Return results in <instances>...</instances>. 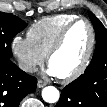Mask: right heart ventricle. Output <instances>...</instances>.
Segmentation results:
<instances>
[{
	"label": "right heart ventricle",
	"instance_id": "e07e8e85",
	"mask_svg": "<svg viewBox=\"0 0 107 107\" xmlns=\"http://www.w3.org/2000/svg\"><path fill=\"white\" fill-rule=\"evenodd\" d=\"M76 18L74 14H57L41 18L29 27L27 37L46 56L61 30Z\"/></svg>",
	"mask_w": 107,
	"mask_h": 107
}]
</instances>
